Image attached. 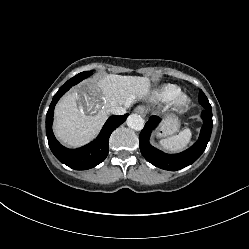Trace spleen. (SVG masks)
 I'll use <instances>...</instances> for the list:
<instances>
[{"instance_id":"obj_1","label":"spleen","mask_w":249,"mask_h":249,"mask_svg":"<svg viewBox=\"0 0 249 249\" xmlns=\"http://www.w3.org/2000/svg\"><path fill=\"white\" fill-rule=\"evenodd\" d=\"M192 132L190 129H184L178 135L171 136L159 141L160 146L168 152H180L190 143Z\"/></svg>"}]
</instances>
